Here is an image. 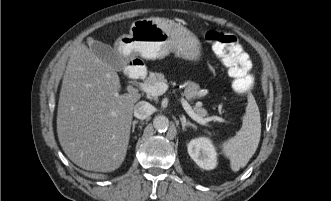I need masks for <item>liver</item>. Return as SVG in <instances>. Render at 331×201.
I'll return each instance as SVG.
<instances>
[{"instance_id":"obj_1","label":"liver","mask_w":331,"mask_h":201,"mask_svg":"<svg viewBox=\"0 0 331 201\" xmlns=\"http://www.w3.org/2000/svg\"><path fill=\"white\" fill-rule=\"evenodd\" d=\"M91 41V40H90ZM115 69L78 44L63 76L57 134L67 157L95 172H112L125 159L139 93L119 94Z\"/></svg>"}]
</instances>
